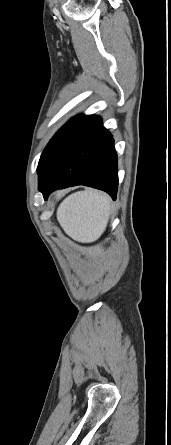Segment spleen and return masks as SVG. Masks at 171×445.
I'll list each match as a JSON object with an SVG mask.
<instances>
[{
  "instance_id": "1",
  "label": "spleen",
  "mask_w": 171,
  "mask_h": 445,
  "mask_svg": "<svg viewBox=\"0 0 171 445\" xmlns=\"http://www.w3.org/2000/svg\"><path fill=\"white\" fill-rule=\"evenodd\" d=\"M110 211V197L103 192L88 189L64 199L56 216L68 236L79 242L90 243L105 231Z\"/></svg>"
}]
</instances>
